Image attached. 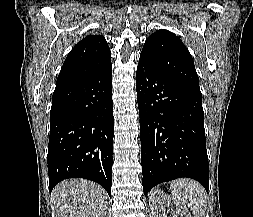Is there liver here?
<instances>
[{
  "mask_svg": "<svg viewBox=\"0 0 253 217\" xmlns=\"http://www.w3.org/2000/svg\"><path fill=\"white\" fill-rule=\"evenodd\" d=\"M56 217H105L107 195L98 184L84 179L60 182L51 194Z\"/></svg>",
  "mask_w": 253,
  "mask_h": 217,
  "instance_id": "6515ba94",
  "label": "liver"
}]
</instances>
